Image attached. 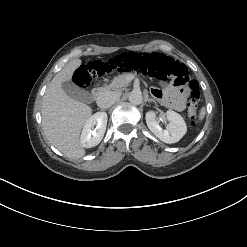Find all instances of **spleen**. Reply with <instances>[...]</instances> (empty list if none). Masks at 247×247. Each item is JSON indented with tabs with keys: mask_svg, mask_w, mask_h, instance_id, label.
I'll return each mask as SVG.
<instances>
[{
	"mask_svg": "<svg viewBox=\"0 0 247 247\" xmlns=\"http://www.w3.org/2000/svg\"><path fill=\"white\" fill-rule=\"evenodd\" d=\"M205 113H206V109L202 107L199 113V120H203Z\"/></svg>",
	"mask_w": 247,
	"mask_h": 247,
	"instance_id": "3e777b00",
	"label": "spleen"
}]
</instances>
